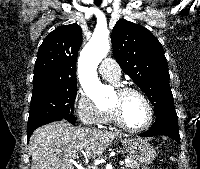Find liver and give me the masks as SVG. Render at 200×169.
Here are the masks:
<instances>
[{"label": "liver", "mask_w": 200, "mask_h": 169, "mask_svg": "<svg viewBox=\"0 0 200 169\" xmlns=\"http://www.w3.org/2000/svg\"><path fill=\"white\" fill-rule=\"evenodd\" d=\"M119 133L76 128L66 121L36 129L30 138L31 169H73L72 159L99 158Z\"/></svg>", "instance_id": "obj_1"}]
</instances>
